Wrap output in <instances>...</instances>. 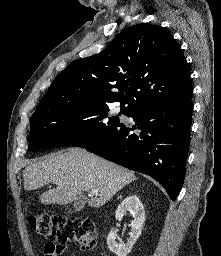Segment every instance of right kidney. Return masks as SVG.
Wrapping results in <instances>:
<instances>
[{"label":"right kidney","mask_w":221,"mask_h":256,"mask_svg":"<svg viewBox=\"0 0 221 256\" xmlns=\"http://www.w3.org/2000/svg\"><path fill=\"white\" fill-rule=\"evenodd\" d=\"M127 211H129L133 216L131 231L129 233L127 243L124 244L122 242H116L117 234L114 228L110 231L107 237V245L109 250L117 256H127L131 252L136 240L141 235L145 221L144 207L136 195H129L122 201L116 210V219L122 218Z\"/></svg>","instance_id":"right-kidney-1"}]
</instances>
